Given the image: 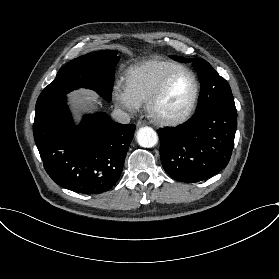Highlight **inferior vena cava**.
I'll return each mask as SVG.
<instances>
[{
	"label": "inferior vena cava",
	"instance_id": "1",
	"mask_svg": "<svg viewBox=\"0 0 279 279\" xmlns=\"http://www.w3.org/2000/svg\"><path fill=\"white\" fill-rule=\"evenodd\" d=\"M111 117L118 123L128 124L130 122V116L128 113L121 109H114L111 113Z\"/></svg>",
	"mask_w": 279,
	"mask_h": 279
}]
</instances>
